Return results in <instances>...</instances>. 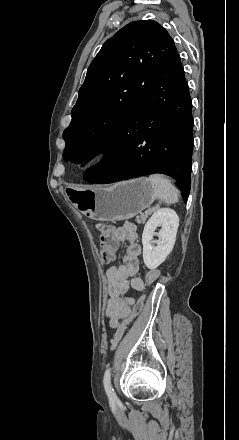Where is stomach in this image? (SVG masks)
I'll list each match as a JSON object with an SVG mask.
<instances>
[{"mask_svg": "<svg viewBox=\"0 0 239 440\" xmlns=\"http://www.w3.org/2000/svg\"><path fill=\"white\" fill-rule=\"evenodd\" d=\"M74 206L91 220L119 222L130 220L155 200L154 186L148 178L117 182L104 188H74Z\"/></svg>", "mask_w": 239, "mask_h": 440, "instance_id": "obj_1", "label": "stomach"}]
</instances>
